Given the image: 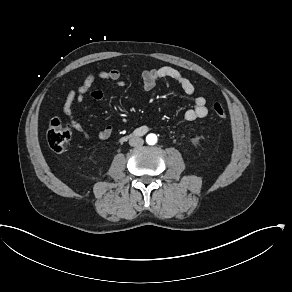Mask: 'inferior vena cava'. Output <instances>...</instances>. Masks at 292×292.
Here are the masks:
<instances>
[{"mask_svg":"<svg viewBox=\"0 0 292 292\" xmlns=\"http://www.w3.org/2000/svg\"><path fill=\"white\" fill-rule=\"evenodd\" d=\"M144 144V140L140 137H132L129 140L130 146H142Z\"/></svg>","mask_w":292,"mask_h":292,"instance_id":"obj_1","label":"inferior vena cava"}]
</instances>
